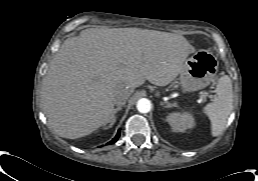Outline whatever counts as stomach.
Segmentation results:
<instances>
[{"mask_svg": "<svg viewBox=\"0 0 258 181\" xmlns=\"http://www.w3.org/2000/svg\"><path fill=\"white\" fill-rule=\"evenodd\" d=\"M218 71V61L213 53L198 50L186 59L179 74V83L185 92L200 90L208 86Z\"/></svg>", "mask_w": 258, "mask_h": 181, "instance_id": "stomach-1", "label": "stomach"}]
</instances>
